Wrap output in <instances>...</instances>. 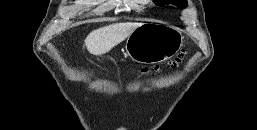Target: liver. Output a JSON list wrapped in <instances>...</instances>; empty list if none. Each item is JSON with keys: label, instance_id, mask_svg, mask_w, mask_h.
I'll return each mask as SVG.
<instances>
[{"label": "liver", "instance_id": "liver-1", "mask_svg": "<svg viewBox=\"0 0 257 130\" xmlns=\"http://www.w3.org/2000/svg\"><path fill=\"white\" fill-rule=\"evenodd\" d=\"M141 23H116L96 29L86 37L85 45L93 55H102L124 41Z\"/></svg>", "mask_w": 257, "mask_h": 130}]
</instances>
